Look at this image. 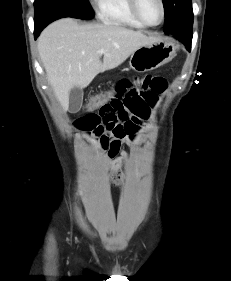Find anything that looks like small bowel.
Returning a JSON list of instances; mask_svg holds the SVG:
<instances>
[{
    "mask_svg": "<svg viewBox=\"0 0 231 281\" xmlns=\"http://www.w3.org/2000/svg\"><path fill=\"white\" fill-rule=\"evenodd\" d=\"M164 77L154 74L124 76L112 85L110 101L97 113L86 114L74 121V127L92 134L112 160L120 154L124 139L132 141L137 131L149 119L159 95L167 89ZM128 156L121 154V162ZM117 163L112 162L115 167Z\"/></svg>",
    "mask_w": 231,
    "mask_h": 281,
    "instance_id": "1",
    "label": "small bowel"
}]
</instances>
